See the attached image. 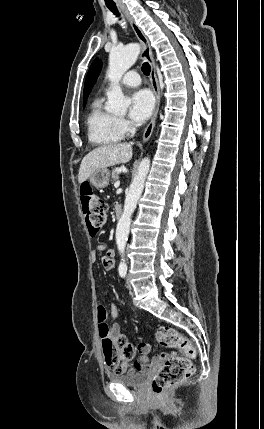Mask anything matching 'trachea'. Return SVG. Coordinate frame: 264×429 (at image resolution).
<instances>
[{"label": "trachea", "instance_id": "obj_1", "mask_svg": "<svg viewBox=\"0 0 264 429\" xmlns=\"http://www.w3.org/2000/svg\"><path fill=\"white\" fill-rule=\"evenodd\" d=\"M106 6H107V7H108V9H110V10L113 12V14H115L117 17H119V16H120V14H119V12H118L117 7H116V5H115V4H106ZM142 71H143V73H144L145 75H147V76L150 74L151 67H150V65H149V63H148V62L143 63V65H142Z\"/></svg>", "mask_w": 264, "mask_h": 429}]
</instances>
